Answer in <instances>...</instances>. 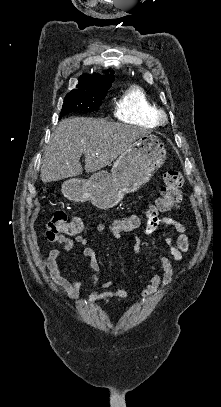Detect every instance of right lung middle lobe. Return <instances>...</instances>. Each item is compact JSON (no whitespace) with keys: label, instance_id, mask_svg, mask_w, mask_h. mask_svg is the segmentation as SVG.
Segmentation results:
<instances>
[{"label":"right lung middle lobe","instance_id":"dd1d6c3e","mask_svg":"<svg viewBox=\"0 0 221 407\" xmlns=\"http://www.w3.org/2000/svg\"><path fill=\"white\" fill-rule=\"evenodd\" d=\"M108 89L109 88L97 91H71L64 99L61 116L75 111H97Z\"/></svg>","mask_w":221,"mask_h":407}]
</instances>
